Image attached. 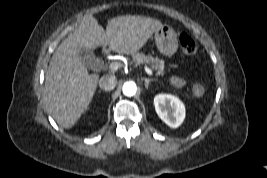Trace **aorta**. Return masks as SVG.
<instances>
[{"mask_svg": "<svg viewBox=\"0 0 267 178\" xmlns=\"http://www.w3.org/2000/svg\"><path fill=\"white\" fill-rule=\"evenodd\" d=\"M122 92L127 97L134 96L137 92V86L132 81L126 82V83H124V85L122 87Z\"/></svg>", "mask_w": 267, "mask_h": 178, "instance_id": "obj_1", "label": "aorta"}]
</instances>
